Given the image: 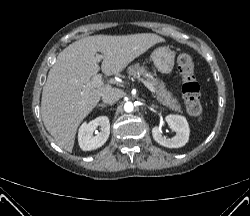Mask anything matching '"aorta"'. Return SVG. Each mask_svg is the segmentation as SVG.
Segmentation results:
<instances>
[{
	"label": "aorta",
	"instance_id": "1",
	"mask_svg": "<svg viewBox=\"0 0 250 216\" xmlns=\"http://www.w3.org/2000/svg\"><path fill=\"white\" fill-rule=\"evenodd\" d=\"M134 109V105L132 102H126L125 105H124V110L126 112H132Z\"/></svg>",
	"mask_w": 250,
	"mask_h": 216
}]
</instances>
